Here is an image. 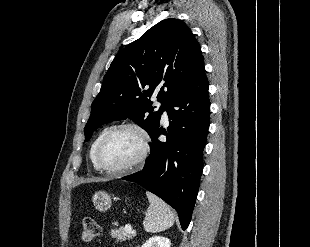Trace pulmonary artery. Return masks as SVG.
<instances>
[{
    "instance_id": "e3ab8cb5",
    "label": "pulmonary artery",
    "mask_w": 310,
    "mask_h": 247,
    "mask_svg": "<svg viewBox=\"0 0 310 247\" xmlns=\"http://www.w3.org/2000/svg\"><path fill=\"white\" fill-rule=\"evenodd\" d=\"M158 106H161V104L158 103ZM162 119H163L164 122H167V121H168V111H167V110H164V111H163Z\"/></svg>"
}]
</instances>
